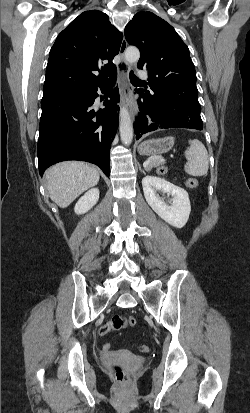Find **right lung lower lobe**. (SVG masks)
Here are the masks:
<instances>
[{
  "mask_svg": "<svg viewBox=\"0 0 250 413\" xmlns=\"http://www.w3.org/2000/svg\"><path fill=\"white\" fill-rule=\"evenodd\" d=\"M109 81L85 90L43 96L37 147L41 176L49 166L65 160L87 161L110 175L109 150L118 127V88L104 101V108L95 104L98 87L103 93L108 91Z\"/></svg>",
  "mask_w": 250,
  "mask_h": 413,
  "instance_id": "1",
  "label": "right lung lower lobe"
}]
</instances>
